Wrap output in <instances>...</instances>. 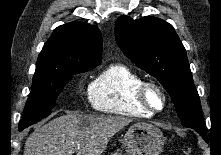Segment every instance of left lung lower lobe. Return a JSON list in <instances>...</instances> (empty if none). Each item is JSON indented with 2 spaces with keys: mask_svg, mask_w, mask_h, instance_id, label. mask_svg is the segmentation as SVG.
I'll return each mask as SVG.
<instances>
[{
  "mask_svg": "<svg viewBox=\"0 0 221 155\" xmlns=\"http://www.w3.org/2000/svg\"><path fill=\"white\" fill-rule=\"evenodd\" d=\"M194 130H196L202 137L205 141H207V136L204 132V129H200V128H193Z\"/></svg>",
  "mask_w": 221,
  "mask_h": 155,
  "instance_id": "0a47b994",
  "label": "left lung lower lobe"
}]
</instances>
